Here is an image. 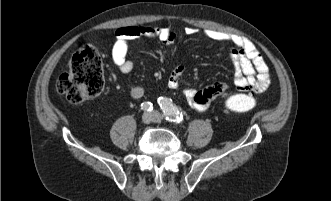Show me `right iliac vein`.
I'll return each mask as SVG.
<instances>
[{
  "label": "right iliac vein",
  "instance_id": "1",
  "mask_svg": "<svg viewBox=\"0 0 331 201\" xmlns=\"http://www.w3.org/2000/svg\"><path fill=\"white\" fill-rule=\"evenodd\" d=\"M153 120L151 113H144L142 116V121L145 124H149Z\"/></svg>",
  "mask_w": 331,
  "mask_h": 201
}]
</instances>
